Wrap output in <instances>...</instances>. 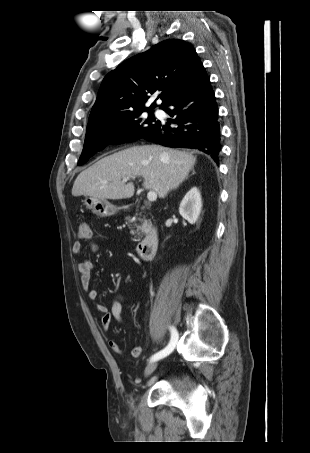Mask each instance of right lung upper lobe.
Wrapping results in <instances>:
<instances>
[{"mask_svg": "<svg viewBox=\"0 0 310 453\" xmlns=\"http://www.w3.org/2000/svg\"><path fill=\"white\" fill-rule=\"evenodd\" d=\"M202 67L193 46L183 40L169 39L154 45L105 76L87 128L135 111L152 110L157 106L155 102L148 108L144 105L157 90L161 91L159 97L165 105Z\"/></svg>", "mask_w": 310, "mask_h": 453, "instance_id": "obj_1", "label": "right lung upper lobe"}]
</instances>
